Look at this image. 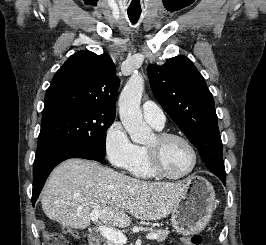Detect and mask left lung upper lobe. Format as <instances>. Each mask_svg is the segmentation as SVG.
Here are the masks:
<instances>
[{"label": "left lung upper lobe", "mask_w": 266, "mask_h": 245, "mask_svg": "<svg viewBox=\"0 0 266 245\" xmlns=\"http://www.w3.org/2000/svg\"><path fill=\"white\" fill-rule=\"evenodd\" d=\"M154 96L175 124L198 148L217 177H226L214 99L194 64L180 55L162 66L147 67Z\"/></svg>", "instance_id": "obj_1"}]
</instances>
